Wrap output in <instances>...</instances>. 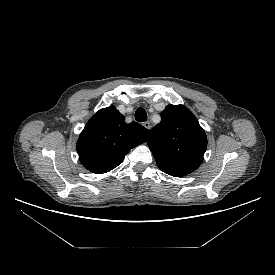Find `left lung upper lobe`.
<instances>
[{
	"instance_id": "5c2ea615",
	"label": "left lung upper lobe",
	"mask_w": 275,
	"mask_h": 275,
	"mask_svg": "<svg viewBox=\"0 0 275 275\" xmlns=\"http://www.w3.org/2000/svg\"><path fill=\"white\" fill-rule=\"evenodd\" d=\"M161 118L148 140L158 167L175 177L194 172L206 151L205 131L184 105H168Z\"/></svg>"
}]
</instances>
